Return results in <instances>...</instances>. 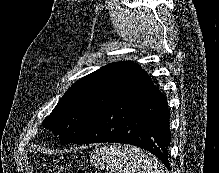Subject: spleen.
I'll use <instances>...</instances> for the list:
<instances>
[{
  "mask_svg": "<svg viewBox=\"0 0 219 173\" xmlns=\"http://www.w3.org/2000/svg\"><path fill=\"white\" fill-rule=\"evenodd\" d=\"M95 166L110 173H164L147 153L134 147L110 145L96 149L91 155Z\"/></svg>",
  "mask_w": 219,
  "mask_h": 173,
  "instance_id": "spleen-1",
  "label": "spleen"
}]
</instances>
